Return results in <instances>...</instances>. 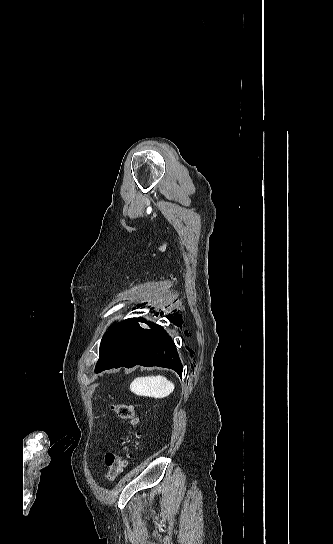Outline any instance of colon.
<instances>
[{"label":"colon","instance_id":"obj_1","mask_svg":"<svg viewBox=\"0 0 333 544\" xmlns=\"http://www.w3.org/2000/svg\"><path fill=\"white\" fill-rule=\"evenodd\" d=\"M109 408L118 417L127 421L135 429L129 444L122 446L118 451H109L105 455V463L107 466L106 477L109 481H114L126 467L129 450L135 446L137 439L140 437V432L136 429L139 423V417L132 405L113 403L110 404Z\"/></svg>","mask_w":333,"mask_h":544}]
</instances>
